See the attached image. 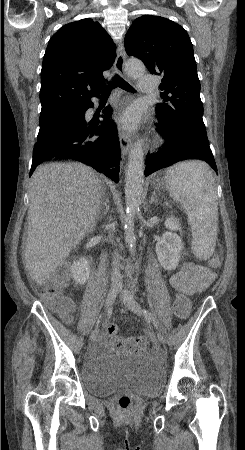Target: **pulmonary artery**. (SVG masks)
Here are the masks:
<instances>
[{
    "label": "pulmonary artery",
    "instance_id": "1",
    "mask_svg": "<svg viewBox=\"0 0 245 450\" xmlns=\"http://www.w3.org/2000/svg\"><path fill=\"white\" fill-rule=\"evenodd\" d=\"M139 84L140 94H152L156 90V77L151 75H143L139 78Z\"/></svg>",
    "mask_w": 245,
    "mask_h": 450
}]
</instances>
